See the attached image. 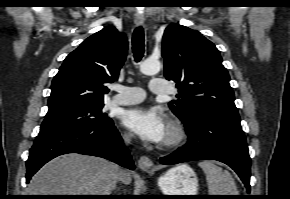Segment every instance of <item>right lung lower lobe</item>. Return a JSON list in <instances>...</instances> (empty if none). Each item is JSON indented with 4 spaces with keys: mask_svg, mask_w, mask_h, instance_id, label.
<instances>
[{
    "mask_svg": "<svg viewBox=\"0 0 290 199\" xmlns=\"http://www.w3.org/2000/svg\"><path fill=\"white\" fill-rule=\"evenodd\" d=\"M67 153L102 157L134 170L130 153L111 120L104 125L40 131L26 162L27 182L45 163Z\"/></svg>",
    "mask_w": 290,
    "mask_h": 199,
    "instance_id": "right-lung-lower-lobe-1",
    "label": "right lung lower lobe"
}]
</instances>
